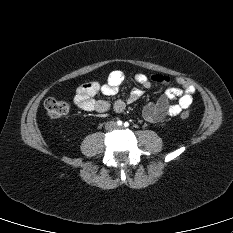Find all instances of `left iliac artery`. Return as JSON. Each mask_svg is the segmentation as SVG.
Segmentation results:
<instances>
[{"label":"left iliac artery","mask_w":233,"mask_h":233,"mask_svg":"<svg viewBox=\"0 0 233 233\" xmlns=\"http://www.w3.org/2000/svg\"><path fill=\"white\" fill-rule=\"evenodd\" d=\"M124 126H125V127H128V126H129V123H128V122H125V123H124Z\"/></svg>","instance_id":"left-iliac-artery-1"}]
</instances>
